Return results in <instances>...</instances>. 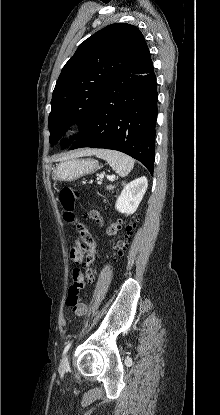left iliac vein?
<instances>
[{
	"instance_id": "obj_1",
	"label": "left iliac vein",
	"mask_w": 220,
	"mask_h": 415,
	"mask_svg": "<svg viewBox=\"0 0 220 415\" xmlns=\"http://www.w3.org/2000/svg\"><path fill=\"white\" fill-rule=\"evenodd\" d=\"M61 364H62V365H64V366H66V365L68 364V358H67V356H65V357L62 359Z\"/></svg>"
}]
</instances>
